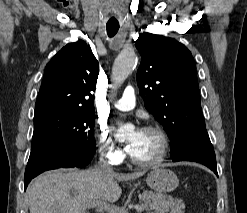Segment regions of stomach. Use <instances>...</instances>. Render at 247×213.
<instances>
[{"label": "stomach", "mask_w": 247, "mask_h": 213, "mask_svg": "<svg viewBox=\"0 0 247 213\" xmlns=\"http://www.w3.org/2000/svg\"><path fill=\"white\" fill-rule=\"evenodd\" d=\"M146 182L150 188L158 193H168L178 186L179 180L176 174L164 167H158L148 173Z\"/></svg>", "instance_id": "obj_1"}]
</instances>
